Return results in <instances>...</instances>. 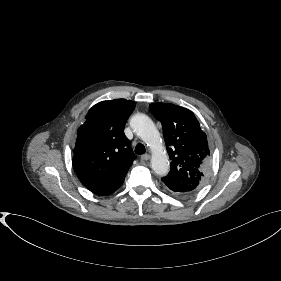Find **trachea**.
I'll return each instance as SVG.
<instances>
[{"mask_svg":"<svg viewBox=\"0 0 281 281\" xmlns=\"http://www.w3.org/2000/svg\"><path fill=\"white\" fill-rule=\"evenodd\" d=\"M146 152L145 146L142 143H138L135 147L136 154H144Z\"/></svg>","mask_w":281,"mask_h":281,"instance_id":"obj_1","label":"trachea"}]
</instances>
